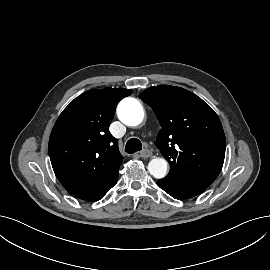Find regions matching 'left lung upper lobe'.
Listing matches in <instances>:
<instances>
[{
	"mask_svg": "<svg viewBox=\"0 0 270 270\" xmlns=\"http://www.w3.org/2000/svg\"><path fill=\"white\" fill-rule=\"evenodd\" d=\"M139 97L162 126L155 143L170 163L165 178L196 177L213 183L223 166L226 141L212 108L192 92L169 85L151 87Z\"/></svg>",
	"mask_w": 270,
	"mask_h": 270,
	"instance_id": "left-lung-upper-lobe-1",
	"label": "left lung upper lobe"
}]
</instances>
